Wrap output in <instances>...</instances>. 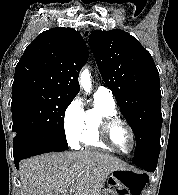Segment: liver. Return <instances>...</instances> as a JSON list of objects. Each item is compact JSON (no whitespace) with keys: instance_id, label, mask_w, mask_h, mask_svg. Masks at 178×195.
Returning <instances> with one entry per match:
<instances>
[{"instance_id":"6515ba94","label":"liver","mask_w":178,"mask_h":195,"mask_svg":"<svg viewBox=\"0 0 178 195\" xmlns=\"http://www.w3.org/2000/svg\"><path fill=\"white\" fill-rule=\"evenodd\" d=\"M127 165L91 151L50 153L20 165L21 195H101L110 173Z\"/></svg>"}]
</instances>
